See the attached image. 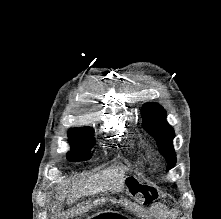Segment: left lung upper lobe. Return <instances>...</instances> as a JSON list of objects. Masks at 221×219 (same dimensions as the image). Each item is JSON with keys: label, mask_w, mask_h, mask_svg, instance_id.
Returning <instances> with one entry per match:
<instances>
[{"label": "left lung upper lobe", "mask_w": 221, "mask_h": 219, "mask_svg": "<svg viewBox=\"0 0 221 219\" xmlns=\"http://www.w3.org/2000/svg\"><path fill=\"white\" fill-rule=\"evenodd\" d=\"M142 127L155 138L159 152L167 160V170L174 167L176 155L172 145L174 130L166 122V112L156 103L144 104L141 110Z\"/></svg>", "instance_id": "left-lung-upper-lobe-1"}]
</instances>
